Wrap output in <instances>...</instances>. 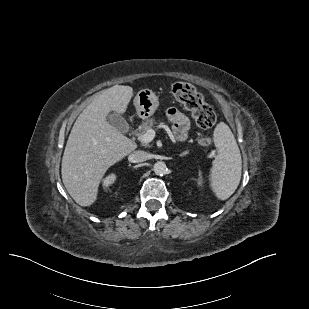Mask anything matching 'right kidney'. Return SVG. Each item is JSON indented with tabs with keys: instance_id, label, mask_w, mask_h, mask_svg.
<instances>
[{
	"instance_id": "1",
	"label": "right kidney",
	"mask_w": 309,
	"mask_h": 309,
	"mask_svg": "<svg viewBox=\"0 0 309 309\" xmlns=\"http://www.w3.org/2000/svg\"><path fill=\"white\" fill-rule=\"evenodd\" d=\"M115 180H116V175H115V174H110L109 176H107V177L103 180V186H104L105 188H107L108 186H110L111 184H113Z\"/></svg>"
}]
</instances>
